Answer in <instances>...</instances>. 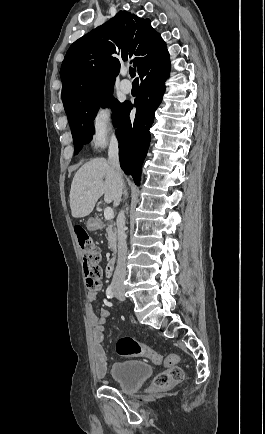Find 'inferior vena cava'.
Masks as SVG:
<instances>
[{
  "label": "inferior vena cava",
  "mask_w": 265,
  "mask_h": 434,
  "mask_svg": "<svg viewBox=\"0 0 265 434\" xmlns=\"http://www.w3.org/2000/svg\"><path fill=\"white\" fill-rule=\"evenodd\" d=\"M118 152V142L115 140V138H112L108 150V162L109 164H112L113 168H116V170H119L120 172ZM124 194L127 196V190H125ZM120 218L121 222L118 224V260L112 280V284H114V286H117V284H120V282H124L126 276L127 236L125 234L126 226L123 210L120 212Z\"/></svg>",
  "instance_id": "obj_1"
}]
</instances>
